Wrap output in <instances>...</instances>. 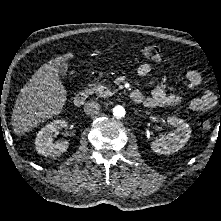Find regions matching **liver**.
<instances>
[{
	"label": "liver",
	"mask_w": 221,
	"mask_h": 221,
	"mask_svg": "<svg viewBox=\"0 0 221 221\" xmlns=\"http://www.w3.org/2000/svg\"><path fill=\"white\" fill-rule=\"evenodd\" d=\"M72 57V53H66L43 64L21 89L11 116L16 135L61 113L67 91L59 79V66Z\"/></svg>",
	"instance_id": "6515ba94"
}]
</instances>
